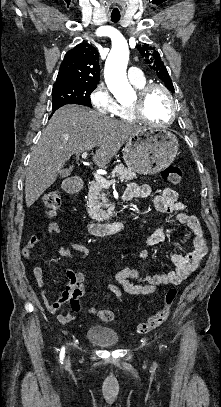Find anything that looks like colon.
Here are the masks:
<instances>
[{"label": "colon", "mask_w": 221, "mask_h": 407, "mask_svg": "<svg viewBox=\"0 0 221 407\" xmlns=\"http://www.w3.org/2000/svg\"><path fill=\"white\" fill-rule=\"evenodd\" d=\"M183 171L180 165L172 163L164 168L162 171V178L165 182L171 184H178L181 182ZM43 203L49 214H54L58 211L61 204V195L58 191L50 190L45 192L43 196ZM50 225H55L50 223ZM73 299L70 302V306L74 311L80 309V299L82 298V285L80 283H72L68 286ZM177 290L175 288H169L164 295V305L155 314L150 316L146 321L137 325V332L140 334H146L151 332L163 324L170 316L171 308L176 300ZM97 316L104 322H110L114 319V313L108 309H99L96 311Z\"/></svg>", "instance_id": "obj_1"}]
</instances>
